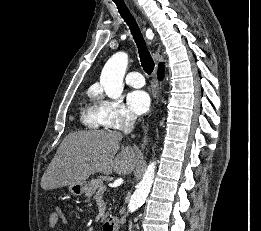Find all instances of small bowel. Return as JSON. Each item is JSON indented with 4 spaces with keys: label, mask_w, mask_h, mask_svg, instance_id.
<instances>
[{
    "label": "small bowel",
    "mask_w": 261,
    "mask_h": 231,
    "mask_svg": "<svg viewBox=\"0 0 261 231\" xmlns=\"http://www.w3.org/2000/svg\"><path fill=\"white\" fill-rule=\"evenodd\" d=\"M61 223V224H65L66 223V219L65 216L62 214L61 211H54L52 213H50V215L48 216V225L51 229H54L57 227V225Z\"/></svg>",
    "instance_id": "obj_1"
}]
</instances>
